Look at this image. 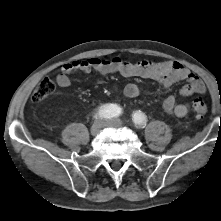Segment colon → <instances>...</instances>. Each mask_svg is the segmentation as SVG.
I'll use <instances>...</instances> for the list:
<instances>
[{
  "mask_svg": "<svg viewBox=\"0 0 221 221\" xmlns=\"http://www.w3.org/2000/svg\"><path fill=\"white\" fill-rule=\"evenodd\" d=\"M55 89L54 81L49 78L45 77L42 79L35 90L32 93V101L33 102H41L45 100L48 96H50ZM192 109L198 117H203L207 112L206 104L203 100L196 98L192 102Z\"/></svg>",
  "mask_w": 221,
  "mask_h": 221,
  "instance_id": "colon-1",
  "label": "colon"
}]
</instances>
